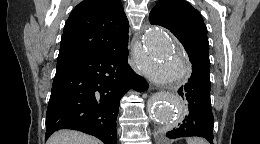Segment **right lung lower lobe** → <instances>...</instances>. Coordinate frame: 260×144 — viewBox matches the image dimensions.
I'll list each match as a JSON object with an SVG mask.
<instances>
[{
  "mask_svg": "<svg viewBox=\"0 0 260 144\" xmlns=\"http://www.w3.org/2000/svg\"><path fill=\"white\" fill-rule=\"evenodd\" d=\"M127 46L57 65L46 113L45 139L59 129L116 144V119L123 95L148 84L128 64Z\"/></svg>",
  "mask_w": 260,
  "mask_h": 144,
  "instance_id": "obj_1",
  "label": "right lung lower lobe"
}]
</instances>
